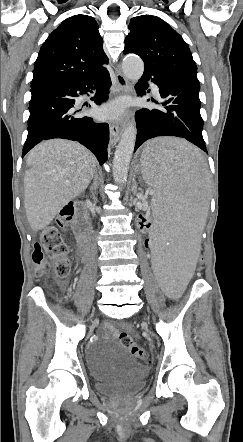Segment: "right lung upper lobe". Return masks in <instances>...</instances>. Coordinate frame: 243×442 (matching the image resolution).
<instances>
[{
	"instance_id": "1",
	"label": "right lung upper lobe",
	"mask_w": 243,
	"mask_h": 442,
	"mask_svg": "<svg viewBox=\"0 0 243 442\" xmlns=\"http://www.w3.org/2000/svg\"><path fill=\"white\" fill-rule=\"evenodd\" d=\"M95 19L78 14L64 20L43 43L31 85L54 79L84 78L108 63Z\"/></svg>"
}]
</instances>
